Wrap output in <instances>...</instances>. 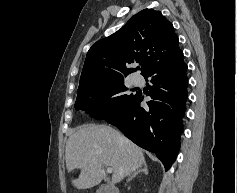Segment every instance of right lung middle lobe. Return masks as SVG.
I'll use <instances>...</instances> for the list:
<instances>
[{
    "mask_svg": "<svg viewBox=\"0 0 237 193\" xmlns=\"http://www.w3.org/2000/svg\"><path fill=\"white\" fill-rule=\"evenodd\" d=\"M128 90L124 80H115L97 84L77 91L76 110H84L99 120L116 115L135 97L126 94Z\"/></svg>",
    "mask_w": 237,
    "mask_h": 193,
    "instance_id": "1",
    "label": "right lung middle lobe"
}]
</instances>
